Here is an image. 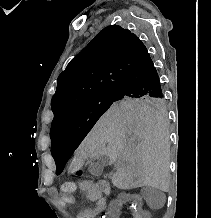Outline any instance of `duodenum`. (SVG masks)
Returning a JSON list of instances; mask_svg holds the SVG:
<instances>
[{"label":"duodenum","mask_w":211,"mask_h":218,"mask_svg":"<svg viewBox=\"0 0 211 218\" xmlns=\"http://www.w3.org/2000/svg\"><path fill=\"white\" fill-rule=\"evenodd\" d=\"M98 187L104 193H108L109 192V185L105 181H99L98 182Z\"/></svg>","instance_id":"obj_1"}]
</instances>
